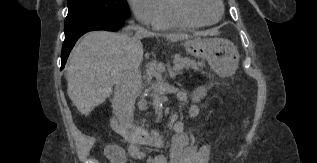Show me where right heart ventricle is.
<instances>
[{"label":"right heart ventricle","mask_w":317,"mask_h":163,"mask_svg":"<svg viewBox=\"0 0 317 163\" xmlns=\"http://www.w3.org/2000/svg\"><path fill=\"white\" fill-rule=\"evenodd\" d=\"M158 6V17L153 25L155 29H185L193 26H188L176 20L170 12L169 0H156Z\"/></svg>","instance_id":"right-heart-ventricle-1"}]
</instances>
